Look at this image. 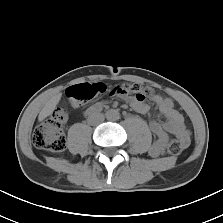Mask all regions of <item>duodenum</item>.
Listing matches in <instances>:
<instances>
[{
	"mask_svg": "<svg viewBox=\"0 0 223 223\" xmlns=\"http://www.w3.org/2000/svg\"><path fill=\"white\" fill-rule=\"evenodd\" d=\"M95 112H96V110H89L87 113L92 114V113H95Z\"/></svg>",
	"mask_w": 223,
	"mask_h": 223,
	"instance_id": "410a0bca",
	"label": "duodenum"
}]
</instances>
